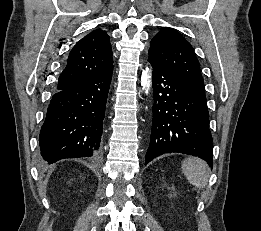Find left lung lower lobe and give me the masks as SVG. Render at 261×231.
<instances>
[{"instance_id":"0a47b994","label":"left lung lower lobe","mask_w":261,"mask_h":231,"mask_svg":"<svg viewBox=\"0 0 261 231\" xmlns=\"http://www.w3.org/2000/svg\"><path fill=\"white\" fill-rule=\"evenodd\" d=\"M153 68L154 103L145 165L164 153L198 156L213 166L212 136L206 97L148 59Z\"/></svg>"}]
</instances>
